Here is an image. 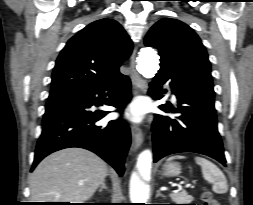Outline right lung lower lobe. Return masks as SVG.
Returning a JSON list of instances; mask_svg holds the SVG:
<instances>
[{"instance_id": "right-lung-lower-lobe-1", "label": "right lung lower lobe", "mask_w": 253, "mask_h": 205, "mask_svg": "<svg viewBox=\"0 0 253 205\" xmlns=\"http://www.w3.org/2000/svg\"><path fill=\"white\" fill-rule=\"evenodd\" d=\"M130 88V79L121 75L99 88L48 100L32 170L54 151L80 147L99 155L122 176L130 128L122 119L97 124L109 112L92 113L89 108L105 103L122 111L131 100Z\"/></svg>"}]
</instances>
